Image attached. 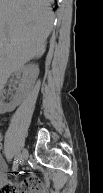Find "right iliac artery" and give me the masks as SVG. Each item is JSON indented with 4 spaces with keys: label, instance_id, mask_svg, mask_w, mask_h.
<instances>
[{
    "label": "right iliac artery",
    "instance_id": "right-iliac-artery-1",
    "mask_svg": "<svg viewBox=\"0 0 103 193\" xmlns=\"http://www.w3.org/2000/svg\"><path fill=\"white\" fill-rule=\"evenodd\" d=\"M20 159H21V155L20 153H17L13 162V170H15L18 167V163L20 162Z\"/></svg>",
    "mask_w": 103,
    "mask_h": 193
}]
</instances>
